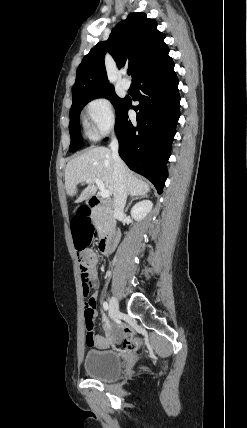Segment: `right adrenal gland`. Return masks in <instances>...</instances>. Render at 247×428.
Masks as SVG:
<instances>
[{
	"label": "right adrenal gland",
	"mask_w": 247,
	"mask_h": 428,
	"mask_svg": "<svg viewBox=\"0 0 247 428\" xmlns=\"http://www.w3.org/2000/svg\"><path fill=\"white\" fill-rule=\"evenodd\" d=\"M139 196H134L131 198V200L129 201L128 205H127V209L129 208V206L132 204V202L136 199H138Z\"/></svg>",
	"instance_id": "right-adrenal-gland-1"
}]
</instances>
